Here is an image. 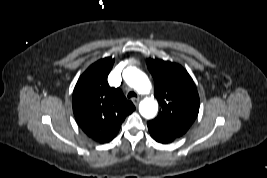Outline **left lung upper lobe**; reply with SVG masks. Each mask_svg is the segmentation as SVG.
Here are the masks:
<instances>
[{
  "label": "left lung upper lobe",
  "instance_id": "left-lung-upper-lobe-1",
  "mask_svg": "<svg viewBox=\"0 0 267 178\" xmlns=\"http://www.w3.org/2000/svg\"><path fill=\"white\" fill-rule=\"evenodd\" d=\"M154 78V95L160 105L158 116L147 123L150 135L167 144L182 137L199 112V95L188 72L179 64L147 59Z\"/></svg>",
  "mask_w": 267,
  "mask_h": 178
}]
</instances>
